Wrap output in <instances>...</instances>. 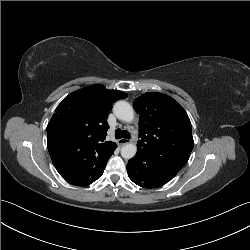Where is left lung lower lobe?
Wrapping results in <instances>:
<instances>
[{
  "mask_svg": "<svg viewBox=\"0 0 250 250\" xmlns=\"http://www.w3.org/2000/svg\"><path fill=\"white\" fill-rule=\"evenodd\" d=\"M130 179L140 187L156 188L171 180L178 172L175 167L156 164L143 153L137 151L127 164Z\"/></svg>",
  "mask_w": 250,
  "mask_h": 250,
  "instance_id": "0a47b994",
  "label": "left lung lower lobe"
}]
</instances>
